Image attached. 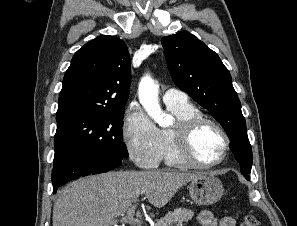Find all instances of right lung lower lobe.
<instances>
[{"label": "right lung lower lobe", "instance_id": "1", "mask_svg": "<svg viewBox=\"0 0 297 226\" xmlns=\"http://www.w3.org/2000/svg\"><path fill=\"white\" fill-rule=\"evenodd\" d=\"M122 158L95 150H76L54 155L52 169L53 192L58 187L81 176L107 172L121 165Z\"/></svg>", "mask_w": 297, "mask_h": 226}]
</instances>
